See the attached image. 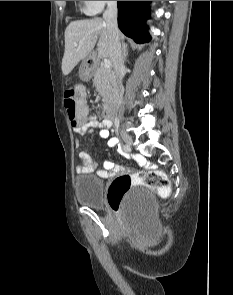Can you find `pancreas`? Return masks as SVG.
I'll return each mask as SVG.
<instances>
[{
	"mask_svg": "<svg viewBox=\"0 0 233 295\" xmlns=\"http://www.w3.org/2000/svg\"><path fill=\"white\" fill-rule=\"evenodd\" d=\"M94 86L97 92L103 97L104 100H110L115 92V79L114 75L109 69L103 66L97 68L94 80Z\"/></svg>",
	"mask_w": 233,
	"mask_h": 295,
	"instance_id": "cf45deb5",
	"label": "pancreas"
}]
</instances>
